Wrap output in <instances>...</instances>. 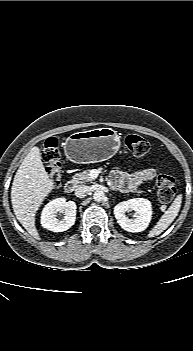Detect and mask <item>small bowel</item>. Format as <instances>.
Returning <instances> with one entry per match:
<instances>
[{
  "label": "small bowel",
  "mask_w": 193,
  "mask_h": 351,
  "mask_svg": "<svg viewBox=\"0 0 193 351\" xmlns=\"http://www.w3.org/2000/svg\"><path fill=\"white\" fill-rule=\"evenodd\" d=\"M156 176V171L152 168L144 169L133 174L122 171H112L110 175L111 183L114 187L122 190H137L143 182L150 181Z\"/></svg>",
  "instance_id": "1"
}]
</instances>
